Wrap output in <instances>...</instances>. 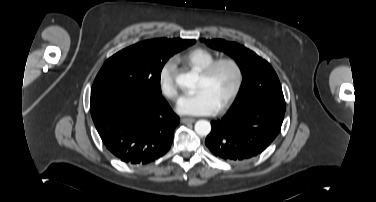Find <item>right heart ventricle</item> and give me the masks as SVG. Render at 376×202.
Instances as JSON below:
<instances>
[{
	"label": "right heart ventricle",
	"mask_w": 376,
	"mask_h": 202,
	"mask_svg": "<svg viewBox=\"0 0 376 202\" xmlns=\"http://www.w3.org/2000/svg\"><path fill=\"white\" fill-rule=\"evenodd\" d=\"M215 58V54L211 51L205 48H195L174 57L173 61L183 67L201 71L213 62Z\"/></svg>",
	"instance_id": "1"
}]
</instances>
